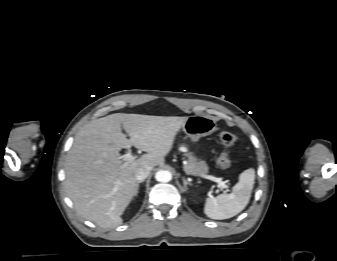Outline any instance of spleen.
Masks as SVG:
<instances>
[{
    "instance_id": "3e777b00",
    "label": "spleen",
    "mask_w": 337,
    "mask_h": 261,
    "mask_svg": "<svg viewBox=\"0 0 337 261\" xmlns=\"http://www.w3.org/2000/svg\"><path fill=\"white\" fill-rule=\"evenodd\" d=\"M255 181V170L249 168L239 175L232 193L206 199L204 212L216 220L228 219L240 213L249 203Z\"/></svg>"
}]
</instances>
